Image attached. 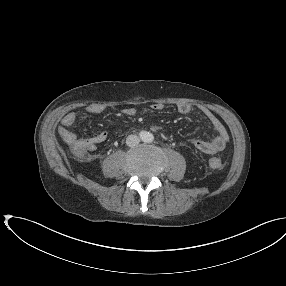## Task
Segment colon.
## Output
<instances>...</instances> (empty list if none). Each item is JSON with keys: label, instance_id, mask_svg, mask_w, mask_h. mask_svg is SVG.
Returning <instances> with one entry per match:
<instances>
[{"label": "colon", "instance_id": "colon-1", "mask_svg": "<svg viewBox=\"0 0 286 286\" xmlns=\"http://www.w3.org/2000/svg\"><path fill=\"white\" fill-rule=\"evenodd\" d=\"M68 143L70 144L72 150L74 151V153L76 155H78L79 157L84 158V159L87 158L86 153L81 151L80 148L76 145L74 138L69 139ZM208 164H209V167L212 169H220L223 166L221 160H219L217 158L209 159Z\"/></svg>", "mask_w": 286, "mask_h": 286}]
</instances>
